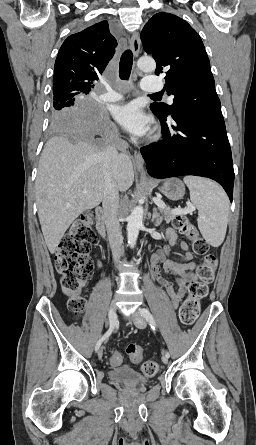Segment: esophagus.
<instances>
[{
	"mask_svg": "<svg viewBox=\"0 0 256 445\" xmlns=\"http://www.w3.org/2000/svg\"><path fill=\"white\" fill-rule=\"evenodd\" d=\"M130 48L134 56H138L140 53V38L138 33H134L130 38ZM133 163L138 171L144 172V159L139 151L135 150L133 155Z\"/></svg>",
	"mask_w": 256,
	"mask_h": 445,
	"instance_id": "obj_1",
	"label": "esophagus"
}]
</instances>
